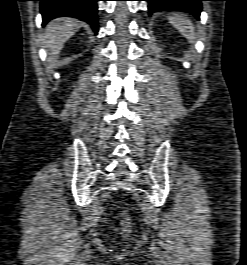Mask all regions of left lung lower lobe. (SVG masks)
<instances>
[{
	"mask_svg": "<svg viewBox=\"0 0 247 265\" xmlns=\"http://www.w3.org/2000/svg\"><path fill=\"white\" fill-rule=\"evenodd\" d=\"M149 1L148 10L152 14L157 10H182L199 18L202 10V1L207 0H145Z\"/></svg>",
	"mask_w": 247,
	"mask_h": 265,
	"instance_id": "obj_1",
	"label": "left lung lower lobe"
}]
</instances>
